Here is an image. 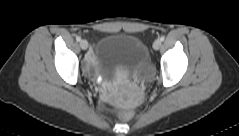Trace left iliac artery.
<instances>
[{
  "label": "left iliac artery",
  "mask_w": 239,
  "mask_h": 136,
  "mask_svg": "<svg viewBox=\"0 0 239 136\" xmlns=\"http://www.w3.org/2000/svg\"><path fill=\"white\" fill-rule=\"evenodd\" d=\"M165 37L164 36H161L160 37V41H164Z\"/></svg>",
  "instance_id": "44dca946"
}]
</instances>
